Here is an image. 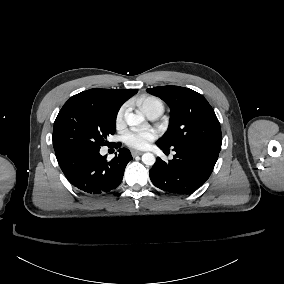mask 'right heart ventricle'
<instances>
[{"label": "right heart ventricle", "instance_id": "right-heart-ventricle-1", "mask_svg": "<svg viewBox=\"0 0 284 284\" xmlns=\"http://www.w3.org/2000/svg\"><path fill=\"white\" fill-rule=\"evenodd\" d=\"M153 105L162 106L163 109H164V104H163L161 99H159L157 97H154V96H148V97H146L144 99V101H143V109H144V111L146 109H148V107L153 106Z\"/></svg>", "mask_w": 284, "mask_h": 284}]
</instances>
